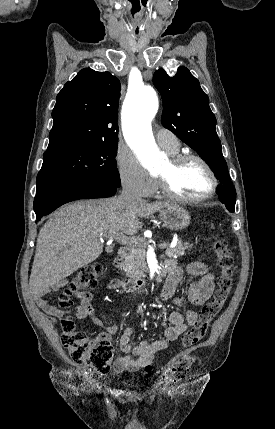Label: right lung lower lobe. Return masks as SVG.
Listing matches in <instances>:
<instances>
[{"label": "right lung lower lobe", "instance_id": "obj_1", "mask_svg": "<svg viewBox=\"0 0 275 429\" xmlns=\"http://www.w3.org/2000/svg\"><path fill=\"white\" fill-rule=\"evenodd\" d=\"M117 187L93 181H78L56 186L34 199V211L37 220L48 215L59 206L78 199L104 198L113 196Z\"/></svg>", "mask_w": 275, "mask_h": 429}]
</instances>
